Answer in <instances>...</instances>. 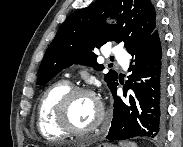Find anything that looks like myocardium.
<instances>
[{
	"instance_id": "myocardium-1",
	"label": "myocardium",
	"mask_w": 183,
	"mask_h": 147,
	"mask_svg": "<svg viewBox=\"0 0 183 147\" xmlns=\"http://www.w3.org/2000/svg\"><path fill=\"white\" fill-rule=\"evenodd\" d=\"M79 95H87L92 97L98 106V117L96 121L94 122L93 125H91L89 128L84 130H78L74 128L71 124L69 114H68L71 101ZM104 119H105V108H104L103 102L94 91L84 87L70 88L60 98L55 108V121L58 127L61 128L67 134H71V135L83 136V135L90 134L94 132L103 123Z\"/></svg>"
}]
</instances>
